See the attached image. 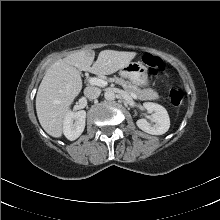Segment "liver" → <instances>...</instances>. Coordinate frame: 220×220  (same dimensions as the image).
<instances>
[{
	"label": "liver",
	"instance_id": "6515ba94",
	"mask_svg": "<svg viewBox=\"0 0 220 220\" xmlns=\"http://www.w3.org/2000/svg\"><path fill=\"white\" fill-rule=\"evenodd\" d=\"M136 55V52L103 50L93 63L95 52L80 50L53 63L36 95L37 117L45 132L55 138L62 136L64 118L82 89L80 71L110 75L128 65Z\"/></svg>",
	"mask_w": 220,
	"mask_h": 220
}]
</instances>
